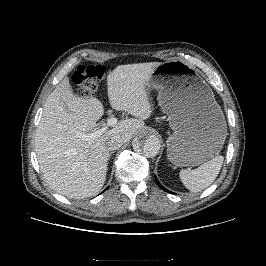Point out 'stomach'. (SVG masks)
Wrapping results in <instances>:
<instances>
[{"label": "stomach", "instance_id": "1", "mask_svg": "<svg viewBox=\"0 0 266 266\" xmlns=\"http://www.w3.org/2000/svg\"><path fill=\"white\" fill-rule=\"evenodd\" d=\"M159 91V105L173 130L167 139V157L175 166L200 165L217 155L227 127L212 89L191 65L166 61L157 66L147 82Z\"/></svg>", "mask_w": 266, "mask_h": 266}]
</instances>
